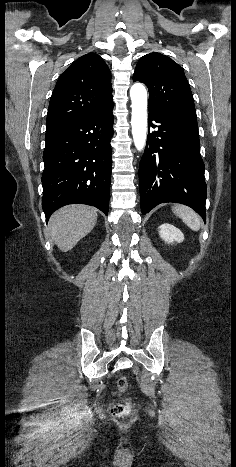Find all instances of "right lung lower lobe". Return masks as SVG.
Returning <instances> with one entry per match:
<instances>
[{
    "instance_id": "98d812e1",
    "label": "right lung lower lobe",
    "mask_w": 236,
    "mask_h": 467,
    "mask_svg": "<svg viewBox=\"0 0 236 467\" xmlns=\"http://www.w3.org/2000/svg\"><path fill=\"white\" fill-rule=\"evenodd\" d=\"M114 103L46 131L42 208L48 221L60 207L81 203L109 210Z\"/></svg>"
}]
</instances>
